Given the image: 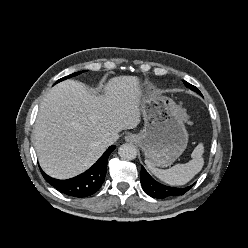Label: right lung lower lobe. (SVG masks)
Returning a JSON list of instances; mask_svg holds the SVG:
<instances>
[{"instance_id":"98d812e1","label":"right lung lower lobe","mask_w":248,"mask_h":248,"mask_svg":"<svg viewBox=\"0 0 248 248\" xmlns=\"http://www.w3.org/2000/svg\"><path fill=\"white\" fill-rule=\"evenodd\" d=\"M114 149V145L110 146L90 169L68 180L54 179L40 170L45 180L60 192L74 197L90 196L101 187L106 175L108 157Z\"/></svg>"}]
</instances>
